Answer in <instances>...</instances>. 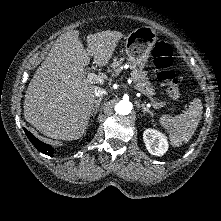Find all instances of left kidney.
I'll return each instance as SVG.
<instances>
[{
	"instance_id": "obj_1",
	"label": "left kidney",
	"mask_w": 221,
	"mask_h": 221,
	"mask_svg": "<svg viewBox=\"0 0 221 221\" xmlns=\"http://www.w3.org/2000/svg\"><path fill=\"white\" fill-rule=\"evenodd\" d=\"M143 140L148 152L152 155L162 156L168 150L167 137L155 129H146L143 133Z\"/></svg>"
}]
</instances>
